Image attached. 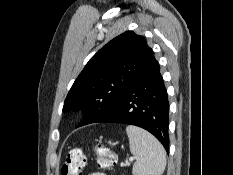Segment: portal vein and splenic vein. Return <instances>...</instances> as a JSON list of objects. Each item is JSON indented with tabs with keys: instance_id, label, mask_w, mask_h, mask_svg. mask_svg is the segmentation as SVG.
Here are the masks:
<instances>
[{
	"instance_id": "obj_1",
	"label": "portal vein and splenic vein",
	"mask_w": 233,
	"mask_h": 175,
	"mask_svg": "<svg viewBox=\"0 0 233 175\" xmlns=\"http://www.w3.org/2000/svg\"><path fill=\"white\" fill-rule=\"evenodd\" d=\"M133 160H134V157H130V158H129V161H130V162H132ZM127 164H129V163H127Z\"/></svg>"
}]
</instances>
